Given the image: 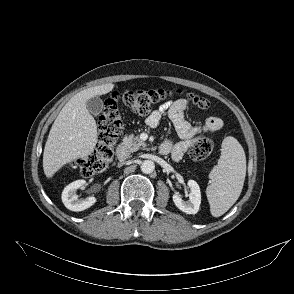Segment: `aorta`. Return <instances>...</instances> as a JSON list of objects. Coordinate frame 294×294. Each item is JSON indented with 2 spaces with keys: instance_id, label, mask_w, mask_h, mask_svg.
<instances>
[{
  "instance_id": "obj_1",
  "label": "aorta",
  "mask_w": 294,
  "mask_h": 294,
  "mask_svg": "<svg viewBox=\"0 0 294 294\" xmlns=\"http://www.w3.org/2000/svg\"><path fill=\"white\" fill-rule=\"evenodd\" d=\"M141 171L145 174H150L154 171L155 169V164L153 161L151 160H144L142 163H141Z\"/></svg>"
}]
</instances>
